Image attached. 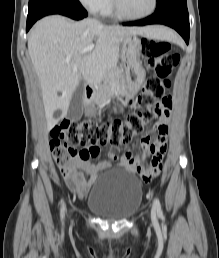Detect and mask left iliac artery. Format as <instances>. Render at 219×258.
I'll return each mask as SVG.
<instances>
[{"label": "left iliac artery", "mask_w": 219, "mask_h": 258, "mask_svg": "<svg viewBox=\"0 0 219 258\" xmlns=\"http://www.w3.org/2000/svg\"><path fill=\"white\" fill-rule=\"evenodd\" d=\"M152 209H153V211H155L157 213V215L159 217H162L163 213H162L161 204H160L159 199H157V198L154 199Z\"/></svg>", "instance_id": "left-iliac-artery-1"}]
</instances>
